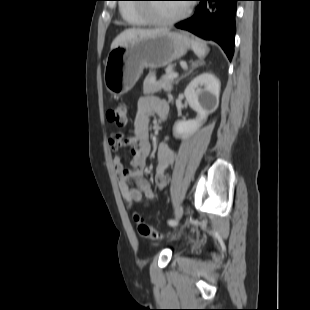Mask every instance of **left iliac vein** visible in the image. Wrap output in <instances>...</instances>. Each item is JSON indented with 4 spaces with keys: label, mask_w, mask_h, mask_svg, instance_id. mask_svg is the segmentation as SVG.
<instances>
[{
    "label": "left iliac vein",
    "mask_w": 310,
    "mask_h": 310,
    "mask_svg": "<svg viewBox=\"0 0 310 310\" xmlns=\"http://www.w3.org/2000/svg\"><path fill=\"white\" fill-rule=\"evenodd\" d=\"M182 214H183V208H182V206H179L178 209H177V212H176V216H175V222L176 223L179 222V220L182 217Z\"/></svg>",
    "instance_id": "4c4485c4"
}]
</instances>
